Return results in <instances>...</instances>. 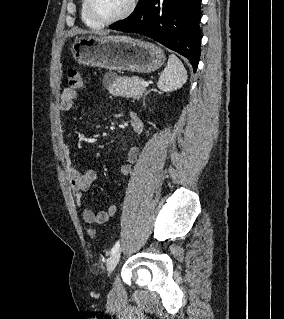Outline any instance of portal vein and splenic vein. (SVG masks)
Segmentation results:
<instances>
[{
  "label": "portal vein and splenic vein",
  "instance_id": "18ae733b",
  "mask_svg": "<svg viewBox=\"0 0 284 319\" xmlns=\"http://www.w3.org/2000/svg\"><path fill=\"white\" fill-rule=\"evenodd\" d=\"M141 85H142L143 87H147V86L149 85V83L146 82V81H142V82H141Z\"/></svg>",
  "mask_w": 284,
  "mask_h": 319
}]
</instances>
